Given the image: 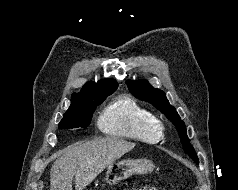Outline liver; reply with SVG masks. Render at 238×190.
I'll use <instances>...</instances> for the list:
<instances>
[{
  "mask_svg": "<svg viewBox=\"0 0 238 190\" xmlns=\"http://www.w3.org/2000/svg\"><path fill=\"white\" fill-rule=\"evenodd\" d=\"M135 143L105 137L71 145L59 153L50 172V190H83L106 167L128 153Z\"/></svg>",
  "mask_w": 238,
  "mask_h": 190,
  "instance_id": "6515ba94",
  "label": "liver"
}]
</instances>
